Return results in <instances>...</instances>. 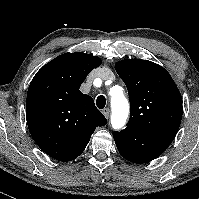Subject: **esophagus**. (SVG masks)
I'll return each instance as SVG.
<instances>
[{"label":"esophagus","mask_w":199,"mask_h":199,"mask_svg":"<svg viewBox=\"0 0 199 199\" xmlns=\"http://www.w3.org/2000/svg\"><path fill=\"white\" fill-rule=\"evenodd\" d=\"M103 115L108 119L110 116V109L109 108H105L102 110Z\"/></svg>","instance_id":"1"}]
</instances>
